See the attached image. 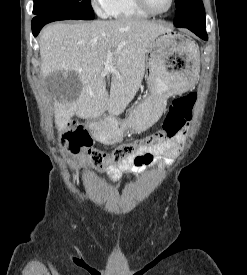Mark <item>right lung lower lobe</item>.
I'll list each match as a JSON object with an SVG mask.
<instances>
[{
	"instance_id": "98d812e1",
	"label": "right lung lower lobe",
	"mask_w": 247,
	"mask_h": 275,
	"mask_svg": "<svg viewBox=\"0 0 247 275\" xmlns=\"http://www.w3.org/2000/svg\"><path fill=\"white\" fill-rule=\"evenodd\" d=\"M58 20H68V19L60 17L58 15H39L34 17L32 20L33 35L36 37L44 25L53 21H58Z\"/></svg>"
}]
</instances>
